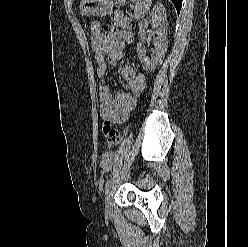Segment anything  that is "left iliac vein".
Masks as SVG:
<instances>
[{
    "mask_svg": "<svg viewBox=\"0 0 248 247\" xmlns=\"http://www.w3.org/2000/svg\"><path fill=\"white\" fill-rule=\"evenodd\" d=\"M113 189H114V183L112 181L108 186V188L106 189L105 207L107 213H110L112 211L111 199L113 195Z\"/></svg>",
    "mask_w": 248,
    "mask_h": 247,
    "instance_id": "1",
    "label": "left iliac vein"
}]
</instances>
